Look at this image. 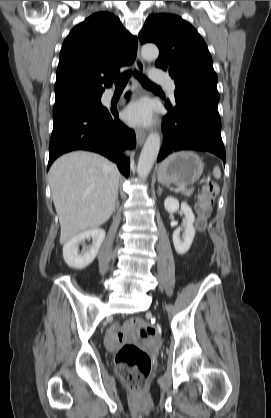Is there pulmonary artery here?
<instances>
[{
  "instance_id": "1",
  "label": "pulmonary artery",
  "mask_w": 271,
  "mask_h": 418,
  "mask_svg": "<svg viewBox=\"0 0 271 418\" xmlns=\"http://www.w3.org/2000/svg\"><path fill=\"white\" fill-rule=\"evenodd\" d=\"M151 78L154 82L162 84L166 87L169 95L173 98L175 92V83L173 80L166 74L159 72L158 70H153L151 73Z\"/></svg>"
}]
</instances>
